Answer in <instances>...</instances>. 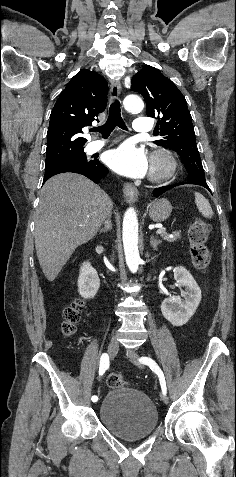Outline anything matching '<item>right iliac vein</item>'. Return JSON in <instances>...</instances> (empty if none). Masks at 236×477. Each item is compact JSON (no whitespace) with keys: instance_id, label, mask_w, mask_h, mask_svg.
Wrapping results in <instances>:
<instances>
[{"instance_id":"1","label":"right iliac vein","mask_w":236,"mask_h":477,"mask_svg":"<svg viewBox=\"0 0 236 477\" xmlns=\"http://www.w3.org/2000/svg\"><path fill=\"white\" fill-rule=\"evenodd\" d=\"M118 348H119V345H118V342L116 340V338H112L110 343H109V346H108V354L110 356V358H114L118 352ZM102 389V386L101 385H98L97 388L95 389V392H96V395L98 396V401L100 402L102 400V398L99 397V390ZM98 402V404H99ZM95 407L97 405H94Z\"/></svg>"}]
</instances>
